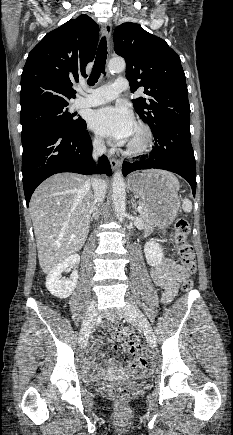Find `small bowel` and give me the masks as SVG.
<instances>
[{"label":"small bowel","mask_w":233,"mask_h":435,"mask_svg":"<svg viewBox=\"0 0 233 435\" xmlns=\"http://www.w3.org/2000/svg\"><path fill=\"white\" fill-rule=\"evenodd\" d=\"M190 277V273L181 265L172 260H164L160 265L152 268V282L163 289L161 301L163 304L170 303L178 292L179 282ZM113 325H106L105 330L111 332L108 335H100L95 338L93 346L85 357L86 372L88 375L100 373H120L127 372L134 376H142L145 371V358L139 354L129 351L124 346V350L133 355L132 361L127 365H122L114 358H107L98 364L97 358L100 356V348L105 346L111 350H116L114 340H120L125 335V330L112 332ZM133 339L139 343L134 335Z\"/></svg>","instance_id":"obj_1"}]
</instances>
